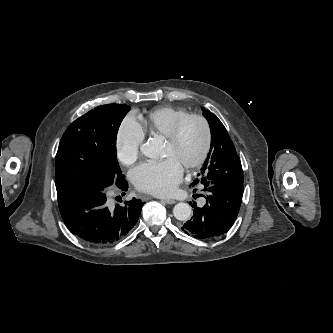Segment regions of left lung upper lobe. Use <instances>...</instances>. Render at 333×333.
<instances>
[{"mask_svg": "<svg viewBox=\"0 0 333 333\" xmlns=\"http://www.w3.org/2000/svg\"><path fill=\"white\" fill-rule=\"evenodd\" d=\"M202 110L210 125L211 146L197 181L210 185L243 184L240 158L227 130L215 114Z\"/></svg>", "mask_w": 333, "mask_h": 333, "instance_id": "left-lung-upper-lobe-1", "label": "left lung upper lobe"}]
</instances>
